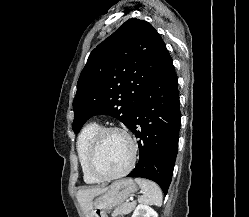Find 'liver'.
I'll use <instances>...</instances> for the list:
<instances>
[{"label": "liver", "instance_id": "6515ba94", "mask_svg": "<svg viewBox=\"0 0 249 217\" xmlns=\"http://www.w3.org/2000/svg\"><path fill=\"white\" fill-rule=\"evenodd\" d=\"M107 190V188H87L82 189L77 192V200L86 214V217H93L94 211H92L93 208V199L94 197L104 193Z\"/></svg>", "mask_w": 249, "mask_h": 217}]
</instances>
